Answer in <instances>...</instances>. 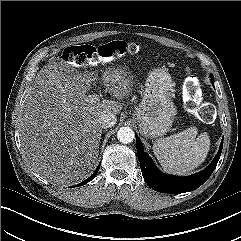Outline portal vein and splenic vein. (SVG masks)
<instances>
[{
  "instance_id": "1",
  "label": "portal vein and splenic vein",
  "mask_w": 241,
  "mask_h": 241,
  "mask_svg": "<svg viewBox=\"0 0 241 241\" xmlns=\"http://www.w3.org/2000/svg\"><path fill=\"white\" fill-rule=\"evenodd\" d=\"M92 97H93L94 100L98 101L99 98H100V95H92Z\"/></svg>"
}]
</instances>
